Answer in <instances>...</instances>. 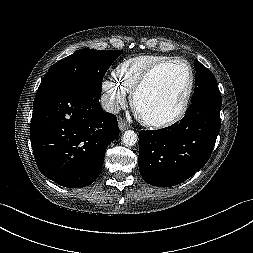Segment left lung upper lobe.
Instances as JSON below:
<instances>
[{
    "instance_id": "5c2ea615",
    "label": "left lung upper lobe",
    "mask_w": 253,
    "mask_h": 253,
    "mask_svg": "<svg viewBox=\"0 0 253 253\" xmlns=\"http://www.w3.org/2000/svg\"><path fill=\"white\" fill-rule=\"evenodd\" d=\"M195 84L196 88L192 96L191 102H195L202 98L221 99V94L217 85V81L212 72L195 60Z\"/></svg>"
}]
</instances>
